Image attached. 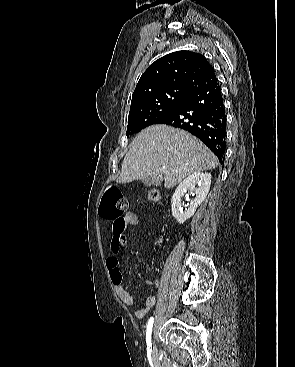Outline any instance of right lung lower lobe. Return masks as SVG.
Returning <instances> with one entry per match:
<instances>
[{
  "instance_id": "98d812e1",
  "label": "right lung lower lobe",
  "mask_w": 295,
  "mask_h": 367,
  "mask_svg": "<svg viewBox=\"0 0 295 367\" xmlns=\"http://www.w3.org/2000/svg\"><path fill=\"white\" fill-rule=\"evenodd\" d=\"M156 124H166L192 133L220 161H224L226 114L217 79L193 92L176 110Z\"/></svg>"
}]
</instances>
